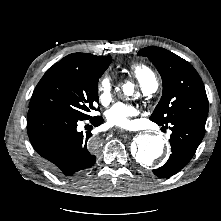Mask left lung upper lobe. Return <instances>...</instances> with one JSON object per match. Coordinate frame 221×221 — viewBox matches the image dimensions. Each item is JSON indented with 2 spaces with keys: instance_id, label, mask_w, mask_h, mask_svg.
Returning a JSON list of instances; mask_svg holds the SVG:
<instances>
[{
  "instance_id": "1",
  "label": "left lung upper lobe",
  "mask_w": 221,
  "mask_h": 221,
  "mask_svg": "<svg viewBox=\"0 0 221 221\" xmlns=\"http://www.w3.org/2000/svg\"><path fill=\"white\" fill-rule=\"evenodd\" d=\"M138 55L149 58L163 82L161 100L150 119L159 126L176 119H187L205 126L208 99L194 67L174 53L156 46L143 48Z\"/></svg>"
}]
</instances>
